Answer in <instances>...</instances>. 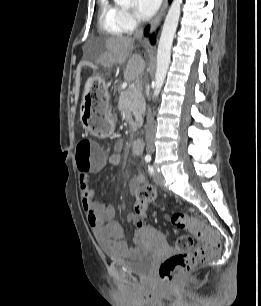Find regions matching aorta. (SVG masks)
Wrapping results in <instances>:
<instances>
[{"label":"aorta","mask_w":261,"mask_h":306,"mask_svg":"<svg viewBox=\"0 0 261 306\" xmlns=\"http://www.w3.org/2000/svg\"><path fill=\"white\" fill-rule=\"evenodd\" d=\"M120 6H130L132 0H114ZM182 0H173L164 21L157 49V67L153 99L158 97L164 84L171 59V47L181 14Z\"/></svg>","instance_id":"762f6f07"}]
</instances>
